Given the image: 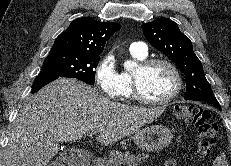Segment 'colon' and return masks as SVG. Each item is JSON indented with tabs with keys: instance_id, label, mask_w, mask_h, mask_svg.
<instances>
[{
	"instance_id": "obj_1",
	"label": "colon",
	"mask_w": 231,
	"mask_h": 166,
	"mask_svg": "<svg viewBox=\"0 0 231 166\" xmlns=\"http://www.w3.org/2000/svg\"><path fill=\"white\" fill-rule=\"evenodd\" d=\"M175 117L185 123L195 125L198 130L196 142V154L200 160L207 159L216 143L217 127L210 115L199 106L178 105L174 110ZM52 166H63L57 162ZM167 166H175L170 161Z\"/></svg>"
}]
</instances>
